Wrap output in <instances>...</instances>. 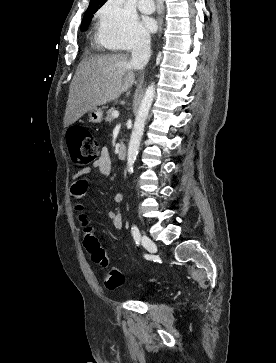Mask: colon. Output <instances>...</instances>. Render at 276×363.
Masks as SVG:
<instances>
[{"instance_id": "1", "label": "colon", "mask_w": 276, "mask_h": 363, "mask_svg": "<svg viewBox=\"0 0 276 363\" xmlns=\"http://www.w3.org/2000/svg\"><path fill=\"white\" fill-rule=\"evenodd\" d=\"M66 142L70 157L77 166H85L95 162L99 157V144L94 136L84 127L73 126L66 133ZM84 246L92 262L101 265L107 271L104 285L110 290L121 287L125 277L117 268L110 265L106 250L100 245L94 234L84 237Z\"/></svg>"}]
</instances>
